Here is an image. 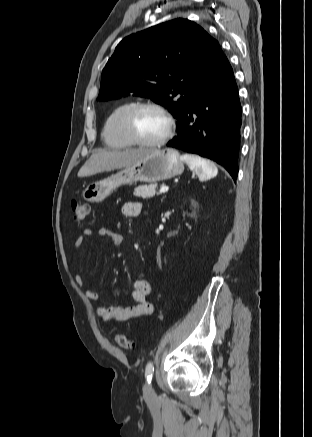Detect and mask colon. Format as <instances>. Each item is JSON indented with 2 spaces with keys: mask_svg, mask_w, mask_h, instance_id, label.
<instances>
[{
  "mask_svg": "<svg viewBox=\"0 0 312 437\" xmlns=\"http://www.w3.org/2000/svg\"><path fill=\"white\" fill-rule=\"evenodd\" d=\"M71 209L73 213V219L75 222H82L84 221L89 212H90V206L87 203H82L77 200H73L71 202ZM116 342L122 349L129 350L133 347L132 341L124 334H117L116 335Z\"/></svg>",
  "mask_w": 312,
  "mask_h": 437,
  "instance_id": "1",
  "label": "colon"
}]
</instances>
